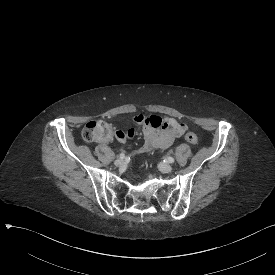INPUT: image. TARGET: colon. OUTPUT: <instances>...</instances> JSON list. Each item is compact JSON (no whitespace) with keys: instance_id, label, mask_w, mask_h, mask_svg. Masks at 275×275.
I'll return each mask as SVG.
<instances>
[{"instance_id":"5ec220e1","label":"colon","mask_w":275,"mask_h":275,"mask_svg":"<svg viewBox=\"0 0 275 275\" xmlns=\"http://www.w3.org/2000/svg\"><path fill=\"white\" fill-rule=\"evenodd\" d=\"M116 131L118 130H114L113 127L105 121L92 120L87 122L82 129V137L86 142H105L113 139ZM185 139L189 144L198 143L197 135L191 131L186 132Z\"/></svg>"}]
</instances>
